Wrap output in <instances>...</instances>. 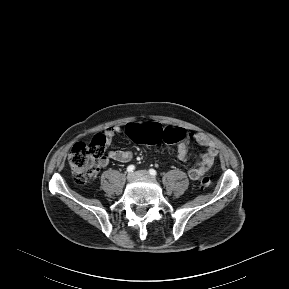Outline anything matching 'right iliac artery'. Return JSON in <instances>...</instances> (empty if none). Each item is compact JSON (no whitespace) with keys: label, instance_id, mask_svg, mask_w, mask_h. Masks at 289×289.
<instances>
[{"label":"right iliac artery","instance_id":"82829eb1","mask_svg":"<svg viewBox=\"0 0 289 289\" xmlns=\"http://www.w3.org/2000/svg\"><path fill=\"white\" fill-rule=\"evenodd\" d=\"M135 170V166L134 165H129L128 167H127V172H133Z\"/></svg>","mask_w":289,"mask_h":289}]
</instances>
